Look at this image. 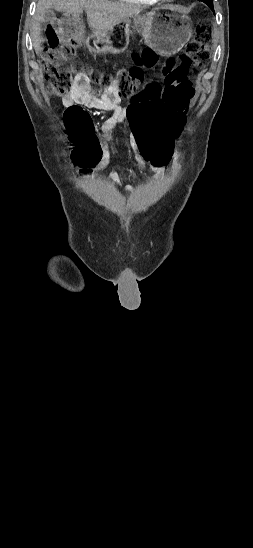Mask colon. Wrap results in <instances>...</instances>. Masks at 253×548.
<instances>
[{"label": "colon", "instance_id": "5ec220e1", "mask_svg": "<svg viewBox=\"0 0 253 548\" xmlns=\"http://www.w3.org/2000/svg\"><path fill=\"white\" fill-rule=\"evenodd\" d=\"M76 33H81V28L78 27ZM62 35L61 42L53 32L50 36L53 42L43 54L47 92L55 96L68 94L73 87L74 74L82 70L89 74L92 82L106 88L116 82L119 95L124 97V104L129 105L126 124L133 137L139 141L137 147L141 150L140 156L149 159L152 166H167L173 139L182 136L181 126L194 95L192 77L188 73L204 67L210 58L209 27L200 26L195 38L186 44L176 60H162L160 76L146 80L144 89L137 94V86L143 78L139 67L115 79L81 64L71 68L63 67V62L74 56V47L70 44L71 33L64 30ZM134 59L137 63H143L145 70L156 68V63L150 62L154 59L150 51L146 50ZM65 119L74 146L73 160L84 165L96 162L101 154V146L87 112L72 105L67 108Z\"/></svg>", "mask_w": 253, "mask_h": 548}]
</instances>
